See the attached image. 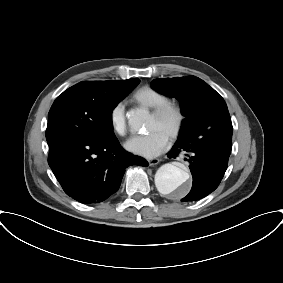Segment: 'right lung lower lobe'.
<instances>
[{
	"instance_id": "98d812e1",
	"label": "right lung lower lobe",
	"mask_w": 283,
	"mask_h": 283,
	"mask_svg": "<svg viewBox=\"0 0 283 283\" xmlns=\"http://www.w3.org/2000/svg\"><path fill=\"white\" fill-rule=\"evenodd\" d=\"M48 163L65 193L81 203H99L120 187L125 169L147 166L126 152L115 135L94 140L80 137L49 145Z\"/></svg>"
}]
</instances>
